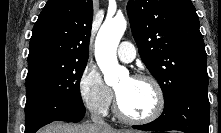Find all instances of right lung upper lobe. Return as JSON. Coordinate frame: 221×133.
Segmentation results:
<instances>
[{
  "instance_id": "obj_1",
  "label": "right lung upper lobe",
  "mask_w": 221,
  "mask_h": 133,
  "mask_svg": "<svg viewBox=\"0 0 221 133\" xmlns=\"http://www.w3.org/2000/svg\"><path fill=\"white\" fill-rule=\"evenodd\" d=\"M92 17V0H48L30 39L28 75L87 62Z\"/></svg>"
}]
</instances>
